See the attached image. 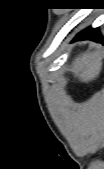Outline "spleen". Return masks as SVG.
Here are the masks:
<instances>
[{
    "instance_id": "1",
    "label": "spleen",
    "mask_w": 104,
    "mask_h": 169,
    "mask_svg": "<svg viewBox=\"0 0 104 169\" xmlns=\"http://www.w3.org/2000/svg\"><path fill=\"white\" fill-rule=\"evenodd\" d=\"M101 66L102 62L97 53H84L75 59L72 72L80 81L89 82L98 76Z\"/></svg>"
}]
</instances>
